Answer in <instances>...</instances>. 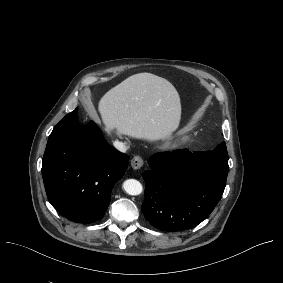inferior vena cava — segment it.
Here are the masks:
<instances>
[{
    "label": "inferior vena cava",
    "instance_id": "obj_1",
    "mask_svg": "<svg viewBox=\"0 0 283 283\" xmlns=\"http://www.w3.org/2000/svg\"><path fill=\"white\" fill-rule=\"evenodd\" d=\"M114 146L121 152H125V150L122 147V144L120 142H115Z\"/></svg>",
    "mask_w": 283,
    "mask_h": 283
}]
</instances>
